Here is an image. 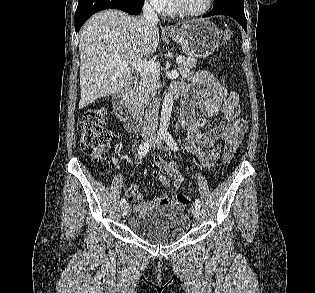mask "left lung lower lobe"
<instances>
[{
	"instance_id": "1",
	"label": "left lung lower lobe",
	"mask_w": 315,
	"mask_h": 293,
	"mask_svg": "<svg viewBox=\"0 0 315 293\" xmlns=\"http://www.w3.org/2000/svg\"><path fill=\"white\" fill-rule=\"evenodd\" d=\"M213 15H228L234 18L239 24L242 25L245 31H247V20L244 14V7L240 6H224L218 9H213L203 17L213 16Z\"/></svg>"
}]
</instances>
